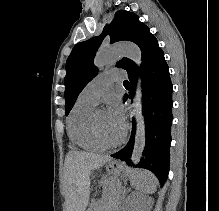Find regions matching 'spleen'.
I'll use <instances>...</instances> for the list:
<instances>
[{"label":"spleen","instance_id":"3e777b00","mask_svg":"<svg viewBox=\"0 0 219 211\" xmlns=\"http://www.w3.org/2000/svg\"><path fill=\"white\" fill-rule=\"evenodd\" d=\"M130 183L142 193H154L158 185L157 177L148 169H134L130 175Z\"/></svg>","mask_w":219,"mask_h":211}]
</instances>
